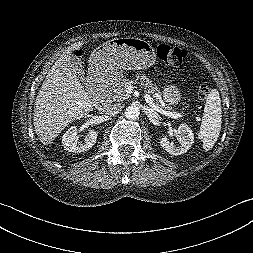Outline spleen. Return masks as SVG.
Here are the masks:
<instances>
[{
  "label": "spleen",
  "instance_id": "spleen-1",
  "mask_svg": "<svg viewBox=\"0 0 253 253\" xmlns=\"http://www.w3.org/2000/svg\"><path fill=\"white\" fill-rule=\"evenodd\" d=\"M221 123V99L218 90L213 89L207 96L200 127V139L204 150H210L216 143L221 131Z\"/></svg>",
  "mask_w": 253,
  "mask_h": 253
}]
</instances>
